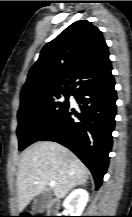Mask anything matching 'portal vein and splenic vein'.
Here are the masks:
<instances>
[{
    "instance_id": "obj_1",
    "label": "portal vein and splenic vein",
    "mask_w": 132,
    "mask_h": 217,
    "mask_svg": "<svg viewBox=\"0 0 132 217\" xmlns=\"http://www.w3.org/2000/svg\"><path fill=\"white\" fill-rule=\"evenodd\" d=\"M55 185H56V183H55L54 181H51V182H50V186H51V187H54Z\"/></svg>"
}]
</instances>
